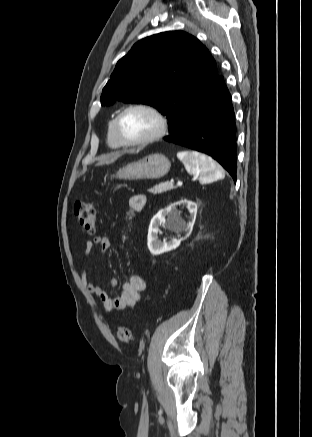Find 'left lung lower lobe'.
<instances>
[{
  "label": "left lung lower lobe",
  "mask_w": 312,
  "mask_h": 437,
  "mask_svg": "<svg viewBox=\"0 0 312 437\" xmlns=\"http://www.w3.org/2000/svg\"><path fill=\"white\" fill-rule=\"evenodd\" d=\"M164 139L210 155L236 181L235 115L223 77H217Z\"/></svg>",
  "instance_id": "0a47b994"
}]
</instances>
